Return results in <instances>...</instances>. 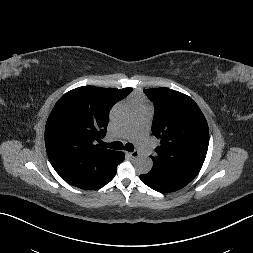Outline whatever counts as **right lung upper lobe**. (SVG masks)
Wrapping results in <instances>:
<instances>
[{"mask_svg": "<svg viewBox=\"0 0 253 253\" xmlns=\"http://www.w3.org/2000/svg\"><path fill=\"white\" fill-rule=\"evenodd\" d=\"M131 91L83 86L55 104L45 127V145L53 168L67 183H92L112 161L116 151L94 141L105 137L111 107Z\"/></svg>", "mask_w": 253, "mask_h": 253, "instance_id": "cb5924a9", "label": "right lung upper lobe"}]
</instances>
